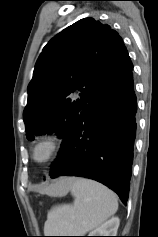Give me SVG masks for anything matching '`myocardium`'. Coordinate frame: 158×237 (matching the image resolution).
<instances>
[{
  "mask_svg": "<svg viewBox=\"0 0 158 237\" xmlns=\"http://www.w3.org/2000/svg\"><path fill=\"white\" fill-rule=\"evenodd\" d=\"M41 146H47V153L38 158L37 152ZM62 143L59 138L53 134H45L40 136L32 147L31 158L35 164L41 165L51 161L61 150Z\"/></svg>",
  "mask_w": 158,
  "mask_h": 237,
  "instance_id": "1",
  "label": "myocardium"
}]
</instances>
